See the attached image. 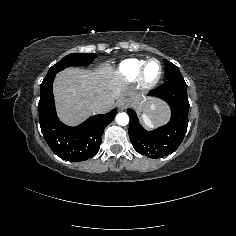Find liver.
Returning a JSON list of instances; mask_svg holds the SVG:
<instances>
[{"label":"liver","mask_w":236,"mask_h":236,"mask_svg":"<svg viewBox=\"0 0 236 236\" xmlns=\"http://www.w3.org/2000/svg\"><path fill=\"white\" fill-rule=\"evenodd\" d=\"M52 93L55 115L62 125L69 128L80 126L94 113H108L115 100L123 96L131 97L143 114L156 124L163 123L164 116L169 119L171 115L169 105L129 87L113 63L96 69L66 67L55 75ZM94 100L102 102L97 112L89 107Z\"/></svg>","instance_id":"6515ba94"}]
</instances>
